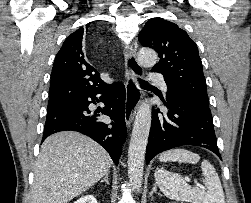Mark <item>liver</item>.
Masks as SVG:
<instances>
[{
	"instance_id": "liver-1",
	"label": "liver",
	"mask_w": 251,
	"mask_h": 203,
	"mask_svg": "<svg viewBox=\"0 0 251 203\" xmlns=\"http://www.w3.org/2000/svg\"><path fill=\"white\" fill-rule=\"evenodd\" d=\"M112 160L95 141L73 131L49 136L41 146L32 203H68L109 173Z\"/></svg>"
}]
</instances>
